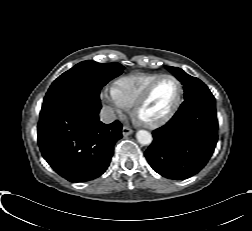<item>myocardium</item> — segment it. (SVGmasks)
Returning a JSON list of instances; mask_svg holds the SVG:
<instances>
[{"label": "myocardium", "instance_id": "1", "mask_svg": "<svg viewBox=\"0 0 252 231\" xmlns=\"http://www.w3.org/2000/svg\"><path fill=\"white\" fill-rule=\"evenodd\" d=\"M165 78H170L173 79L176 84H177V88H178V92H177V96L176 99L173 103V105L171 106V108L169 109V111L162 116L161 118L154 120V121H145L142 120L139 117V111L141 109V107L147 102V100L149 99L152 91L154 90V88L156 87V85L163 79ZM182 98H183V85L180 82V80L171 74H162L160 75L158 78H156L154 81H152L147 87L146 89L143 91V93L140 95V97L136 100V102L133 105V114L135 116V118L146 128H151V129H155L158 127H161L163 125H165L168 121L171 120V118L176 114V112L178 111L181 102H182Z\"/></svg>", "mask_w": 252, "mask_h": 231}]
</instances>
